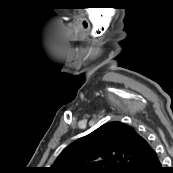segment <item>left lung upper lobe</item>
Returning a JSON list of instances; mask_svg holds the SVG:
<instances>
[{
  "instance_id": "1",
  "label": "left lung upper lobe",
  "mask_w": 173,
  "mask_h": 173,
  "mask_svg": "<svg viewBox=\"0 0 173 173\" xmlns=\"http://www.w3.org/2000/svg\"><path fill=\"white\" fill-rule=\"evenodd\" d=\"M151 150L133 127L110 122L70 144L50 169L53 173H134Z\"/></svg>"
}]
</instances>
